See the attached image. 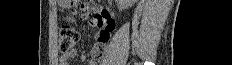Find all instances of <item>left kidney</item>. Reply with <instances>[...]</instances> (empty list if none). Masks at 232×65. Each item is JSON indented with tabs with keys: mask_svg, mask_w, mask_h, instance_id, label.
<instances>
[{
	"mask_svg": "<svg viewBox=\"0 0 232 65\" xmlns=\"http://www.w3.org/2000/svg\"><path fill=\"white\" fill-rule=\"evenodd\" d=\"M136 0H117V6L119 10H125L131 7Z\"/></svg>",
	"mask_w": 232,
	"mask_h": 65,
	"instance_id": "left-kidney-1",
	"label": "left kidney"
}]
</instances>
